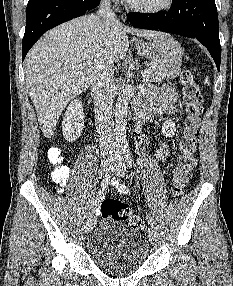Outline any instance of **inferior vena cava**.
I'll use <instances>...</instances> for the list:
<instances>
[{
  "label": "inferior vena cava",
  "instance_id": "1",
  "mask_svg": "<svg viewBox=\"0 0 233 286\" xmlns=\"http://www.w3.org/2000/svg\"><path fill=\"white\" fill-rule=\"evenodd\" d=\"M111 0H102L97 12L102 20L117 21L116 14L111 9ZM113 62L106 59H101L95 70V77L91 83V94L94 98L95 106V122L100 133L102 146L104 138L110 143V148L113 147L112 134L114 123L112 121L113 107Z\"/></svg>",
  "mask_w": 233,
  "mask_h": 286
}]
</instances>
